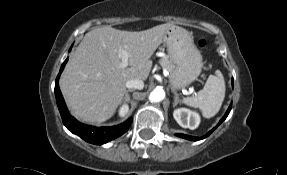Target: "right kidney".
I'll use <instances>...</instances> for the list:
<instances>
[{"mask_svg": "<svg viewBox=\"0 0 287 175\" xmlns=\"http://www.w3.org/2000/svg\"><path fill=\"white\" fill-rule=\"evenodd\" d=\"M128 110H129L128 105H127V104H123V105L120 107V109H119V115H120L121 117L125 116V115L127 114Z\"/></svg>", "mask_w": 287, "mask_h": 175, "instance_id": "obj_1", "label": "right kidney"}]
</instances>
